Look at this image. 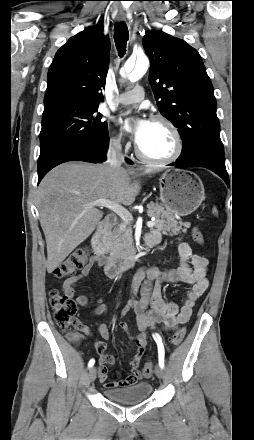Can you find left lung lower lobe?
I'll return each instance as SVG.
<instances>
[{"mask_svg": "<svg viewBox=\"0 0 254 440\" xmlns=\"http://www.w3.org/2000/svg\"><path fill=\"white\" fill-rule=\"evenodd\" d=\"M178 168L199 166L218 174L229 186V176L225 167L224 149L222 146L208 145L202 147L189 157H179L175 163L169 164Z\"/></svg>", "mask_w": 254, "mask_h": 440, "instance_id": "obj_1", "label": "left lung lower lobe"}]
</instances>
